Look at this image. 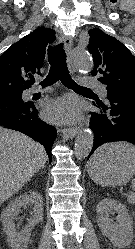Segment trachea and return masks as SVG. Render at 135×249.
<instances>
[{"label":"trachea","mask_w":135,"mask_h":249,"mask_svg":"<svg viewBox=\"0 0 135 249\" xmlns=\"http://www.w3.org/2000/svg\"><path fill=\"white\" fill-rule=\"evenodd\" d=\"M48 61L50 63L49 74L46 79L41 82L42 86L52 85L57 80H60L63 85L75 91H91L88 88L79 86L72 80L66 64V54L64 53L63 43L48 49ZM31 84L34 81L30 82Z\"/></svg>","instance_id":"1"}]
</instances>
